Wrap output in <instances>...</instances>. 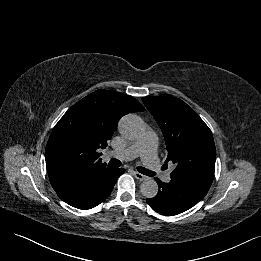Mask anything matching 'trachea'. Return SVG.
<instances>
[{
    "label": "trachea",
    "mask_w": 261,
    "mask_h": 261,
    "mask_svg": "<svg viewBox=\"0 0 261 261\" xmlns=\"http://www.w3.org/2000/svg\"><path fill=\"white\" fill-rule=\"evenodd\" d=\"M109 166L119 167V166H121V162H120L118 159L112 158V159L109 161ZM137 170H138L140 173H142V174H144V175H147V176H154V175H155L154 172H152V171H150V170H148V169H146V168H144V167H141V166L137 167Z\"/></svg>",
    "instance_id": "trachea-1"
}]
</instances>
